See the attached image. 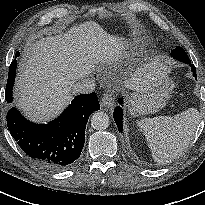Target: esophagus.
Instances as JSON below:
<instances>
[{"label":"esophagus","instance_id":"obj_1","mask_svg":"<svg viewBox=\"0 0 205 205\" xmlns=\"http://www.w3.org/2000/svg\"><path fill=\"white\" fill-rule=\"evenodd\" d=\"M100 104L102 107L104 108H112L114 106V97L113 94L111 93H105L102 97H101V101Z\"/></svg>","mask_w":205,"mask_h":205}]
</instances>
